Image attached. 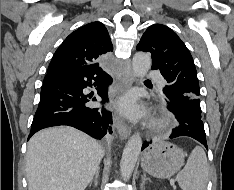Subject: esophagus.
<instances>
[{"label":"esophagus","mask_w":234,"mask_h":190,"mask_svg":"<svg viewBox=\"0 0 234 190\" xmlns=\"http://www.w3.org/2000/svg\"><path fill=\"white\" fill-rule=\"evenodd\" d=\"M120 80V92H124L129 89L134 82V76L130 68L125 73L119 76ZM115 127L121 139H127L131 134V127L127 125L117 114L114 116Z\"/></svg>","instance_id":"esophagus-1"}]
</instances>
